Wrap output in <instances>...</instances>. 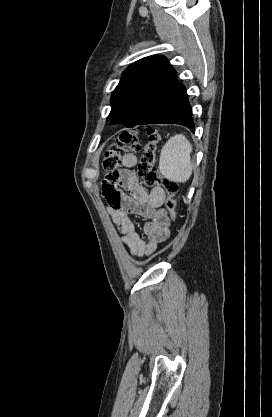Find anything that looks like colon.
<instances>
[{
    "label": "colon",
    "mask_w": 272,
    "mask_h": 417,
    "mask_svg": "<svg viewBox=\"0 0 272 417\" xmlns=\"http://www.w3.org/2000/svg\"><path fill=\"white\" fill-rule=\"evenodd\" d=\"M148 142L143 149L140 163L139 174L147 185H157L165 193V209L172 222L176 218V194L178 192L177 182L164 177L156 166V152L161 136L157 129L148 128ZM141 143L136 131H124L119 134L117 140L105 152L102 167L108 172H116L120 167L124 156L132 152L139 151Z\"/></svg>",
    "instance_id": "5ec220e1"
}]
</instances>
